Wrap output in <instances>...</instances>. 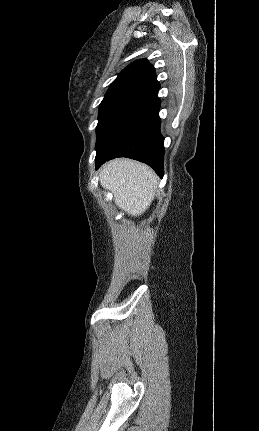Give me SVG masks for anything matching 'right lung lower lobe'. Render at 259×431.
<instances>
[{
    "mask_svg": "<svg viewBox=\"0 0 259 431\" xmlns=\"http://www.w3.org/2000/svg\"><path fill=\"white\" fill-rule=\"evenodd\" d=\"M159 109L158 91L133 106L96 147V169L110 159L128 157L148 164L163 177Z\"/></svg>",
    "mask_w": 259,
    "mask_h": 431,
    "instance_id": "obj_1",
    "label": "right lung lower lobe"
}]
</instances>
